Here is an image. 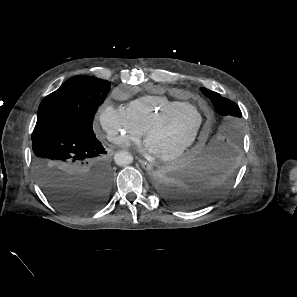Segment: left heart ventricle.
Listing matches in <instances>:
<instances>
[{
  "mask_svg": "<svg viewBox=\"0 0 297 297\" xmlns=\"http://www.w3.org/2000/svg\"><path fill=\"white\" fill-rule=\"evenodd\" d=\"M199 120L197 111L186 108L154 129L149 134L147 143L156 155L176 150L194 134Z\"/></svg>",
  "mask_w": 297,
  "mask_h": 297,
  "instance_id": "left-heart-ventricle-1",
  "label": "left heart ventricle"
}]
</instances>
